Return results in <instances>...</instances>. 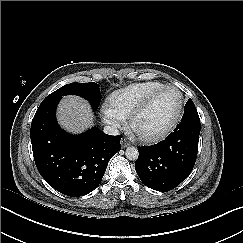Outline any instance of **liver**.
Wrapping results in <instances>:
<instances>
[{
  "label": "liver",
  "mask_w": 243,
  "mask_h": 243,
  "mask_svg": "<svg viewBox=\"0 0 243 243\" xmlns=\"http://www.w3.org/2000/svg\"><path fill=\"white\" fill-rule=\"evenodd\" d=\"M57 119L61 127L77 134L93 125V112L86 100L65 96L58 105Z\"/></svg>",
  "instance_id": "obj_1"
}]
</instances>
